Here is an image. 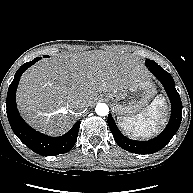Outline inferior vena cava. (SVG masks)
<instances>
[{
  "label": "inferior vena cava",
  "instance_id": "602c4592",
  "mask_svg": "<svg viewBox=\"0 0 193 193\" xmlns=\"http://www.w3.org/2000/svg\"><path fill=\"white\" fill-rule=\"evenodd\" d=\"M86 106L87 104L82 100H74L70 103V109H74L77 111L84 109Z\"/></svg>",
  "mask_w": 193,
  "mask_h": 193
}]
</instances>
